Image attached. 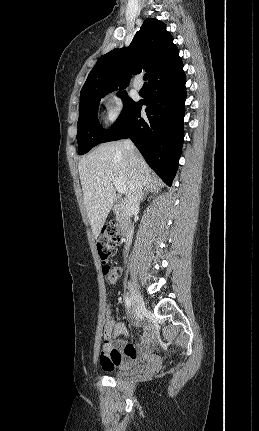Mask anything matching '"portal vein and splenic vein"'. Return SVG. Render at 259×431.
<instances>
[{
	"label": "portal vein and splenic vein",
	"mask_w": 259,
	"mask_h": 431,
	"mask_svg": "<svg viewBox=\"0 0 259 431\" xmlns=\"http://www.w3.org/2000/svg\"><path fill=\"white\" fill-rule=\"evenodd\" d=\"M113 184L115 185V187L119 193L122 194L125 192V186L121 180L115 178V179H113Z\"/></svg>",
	"instance_id": "obj_1"
}]
</instances>
